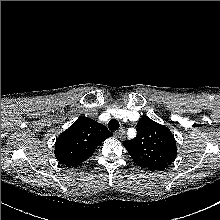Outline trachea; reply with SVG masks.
I'll return each instance as SVG.
<instances>
[{
	"label": "trachea",
	"mask_w": 220,
	"mask_h": 220,
	"mask_svg": "<svg viewBox=\"0 0 220 220\" xmlns=\"http://www.w3.org/2000/svg\"><path fill=\"white\" fill-rule=\"evenodd\" d=\"M108 128L111 131L118 130L119 129V122L116 119L110 120L109 123H108Z\"/></svg>",
	"instance_id": "trachea-1"
}]
</instances>
